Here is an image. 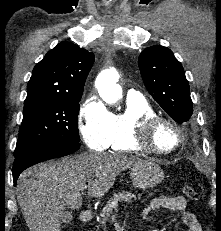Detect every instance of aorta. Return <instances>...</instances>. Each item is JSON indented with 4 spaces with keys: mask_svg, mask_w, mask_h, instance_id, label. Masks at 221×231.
I'll return each instance as SVG.
<instances>
[{
    "mask_svg": "<svg viewBox=\"0 0 221 231\" xmlns=\"http://www.w3.org/2000/svg\"><path fill=\"white\" fill-rule=\"evenodd\" d=\"M119 74L114 69L102 71L96 79L95 86L100 97L109 104H115L122 98V89L118 85Z\"/></svg>",
    "mask_w": 221,
    "mask_h": 231,
    "instance_id": "aorta-1",
    "label": "aorta"
}]
</instances>
